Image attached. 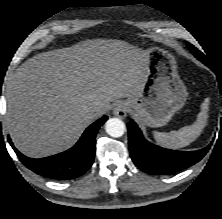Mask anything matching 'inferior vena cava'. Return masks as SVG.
I'll use <instances>...</instances> for the list:
<instances>
[{"label":"inferior vena cava","instance_id":"obj_1","mask_svg":"<svg viewBox=\"0 0 222 219\" xmlns=\"http://www.w3.org/2000/svg\"><path fill=\"white\" fill-rule=\"evenodd\" d=\"M92 113L97 114V115H102L104 113V109L97 107L92 110Z\"/></svg>","mask_w":222,"mask_h":219}]
</instances>
